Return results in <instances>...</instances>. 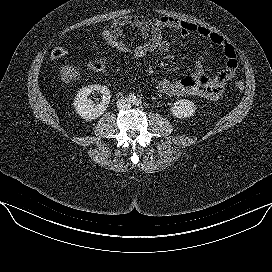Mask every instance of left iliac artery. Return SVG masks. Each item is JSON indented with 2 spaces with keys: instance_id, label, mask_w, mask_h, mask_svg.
I'll return each instance as SVG.
<instances>
[{
  "instance_id": "44dca946",
  "label": "left iliac artery",
  "mask_w": 272,
  "mask_h": 272,
  "mask_svg": "<svg viewBox=\"0 0 272 272\" xmlns=\"http://www.w3.org/2000/svg\"><path fill=\"white\" fill-rule=\"evenodd\" d=\"M141 103H142L141 99H138V98L134 101V104H135L136 106L141 105Z\"/></svg>"
}]
</instances>
